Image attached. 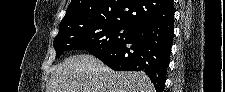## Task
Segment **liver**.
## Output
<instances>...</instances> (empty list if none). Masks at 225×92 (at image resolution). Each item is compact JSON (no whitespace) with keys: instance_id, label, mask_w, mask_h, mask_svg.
I'll return each mask as SVG.
<instances>
[{"instance_id":"6515ba94","label":"liver","mask_w":225,"mask_h":92,"mask_svg":"<svg viewBox=\"0 0 225 92\" xmlns=\"http://www.w3.org/2000/svg\"><path fill=\"white\" fill-rule=\"evenodd\" d=\"M47 92H154L143 72L113 71L89 54L74 55L52 68Z\"/></svg>"}]
</instances>
